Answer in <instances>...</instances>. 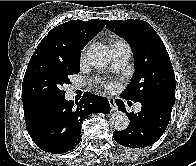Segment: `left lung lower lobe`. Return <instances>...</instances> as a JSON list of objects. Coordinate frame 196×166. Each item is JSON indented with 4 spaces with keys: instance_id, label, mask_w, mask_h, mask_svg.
Here are the masks:
<instances>
[{
    "instance_id": "left-lung-lower-lobe-1",
    "label": "left lung lower lobe",
    "mask_w": 196,
    "mask_h": 166,
    "mask_svg": "<svg viewBox=\"0 0 196 166\" xmlns=\"http://www.w3.org/2000/svg\"><path fill=\"white\" fill-rule=\"evenodd\" d=\"M121 98L122 95H120ZM125 99V98H124ZM139 113H127L125 106L118 99V110L127 113L130 120L123 131H114L113 137L117 143L125 147L140 148L155 143L165 132L173 105L158 99H144ZM130 103V101H128Z\"/></svg>"
}]
</instances>
